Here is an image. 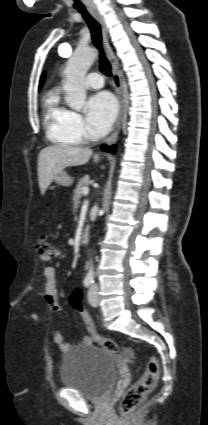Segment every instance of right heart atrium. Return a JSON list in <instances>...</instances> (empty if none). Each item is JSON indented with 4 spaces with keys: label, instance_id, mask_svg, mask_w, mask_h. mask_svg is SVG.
Returning <instances> with one entry per match:
<instances>
[{
    "label": "right heart atrium",
    "instance_id": "1",
    "mask_svg": "<svg viewBox=\"0 0 208 425\" xmlns=\"http://www.w3.org/2000/svg\"><path fill=\"white\" fill-rule=\"evenodd\" d=\"M70 127L79 140L87 138V130L82 116L76 112H70Z\"/></svg>",
    "mask_w": 208,
    "mask_h": 425
}]
</instances>
